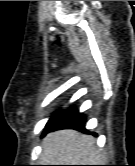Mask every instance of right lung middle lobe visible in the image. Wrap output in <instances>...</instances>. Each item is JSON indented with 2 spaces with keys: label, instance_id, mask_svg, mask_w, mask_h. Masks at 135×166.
Segmentation results:
<instances>
[{
  "label": "right lung middle lobe",
  "instance_id": "dd1d6c3e",
  "mask_svg": "<svg viewBox=\"0 0 135 166\" xmlns=\"http://www.w3.org/2000/svg\"><path fill=\"white\" fill-rule=\"evenodd\" d=\"M64 111L60 110L58 112H55L54 114H52V116L50 117L47 126L52 124L53 122H55L58 118H60L63 115Z\"/></svg>",
  "mask_w": 135,
  "mask_h": 166
}]
</instances>
